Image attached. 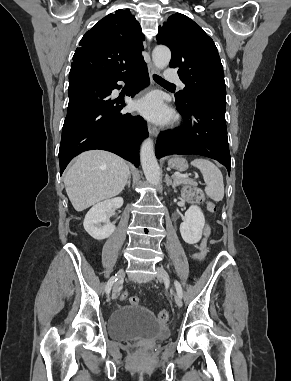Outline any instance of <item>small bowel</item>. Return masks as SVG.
Instances as JSON below:
<instances>
[{
    "mask_svg": "<svg viewBox=\"0 0 291 381\" xmlns=\"http://www.w3.org/2000/svg\"><path fill=\"white\" fill-rule=\"evenodd\" d=\"M210 234V229L208 226H205L204 228V239L195 246V251L193 253V256L197 259H201L204 256L205 249H206V238Z\"/></svg>",
    "mask_w": 291,
    "mask_h": 381,
    "instance_id": "small-bowel-1",
    "label": "small bowel"
}]
</instances>
